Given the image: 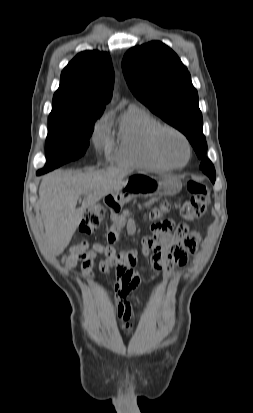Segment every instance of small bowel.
<instances>
[{
	"mask_svg": "<svg viewBox=\"0 0 253 413\" xmlns=\"http://www.w3.org/2000/svg\"><path fill=\"white\" fill-rule=\"evenodd\" d=\"M153 236L144 239L141 253L148 255L153 250L151 265L154 269L163 272V280L167 281L173 272L187 262V257L194 252L200 242V234L190 230L185 224H175L171 219L161 217L152 227ZM99 255L105 258L98 263L101 273L109 275L113 267L117 268V283L115 292L117 297L116 312L124 329L130 330L129 323L132 309L126 300L129 293L140 283L141 277L134 270L137 251L115 253L110 246L94 243L92 246L83 241L70 248L62 262L66 269H73L80 265L87 276H92V270Z\"/></svg>",
	"mask_w": 253,
	"mask_h": 413,
	"instance_id": "1",
	"label": "small bowel"
}]
</instances>
